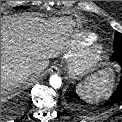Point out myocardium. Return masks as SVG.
<instances>
[{"instance_id": "myocardium-1", "label": "myocardium", "mask_w": 122, "mask_h": 122, "mask_svg": "<svg viewBox=\"0 0 122 122\" xmlns=\"http://www.w3.org/2000/svg\"><path fill=\"white\" fill-rule=\"evenodd\" d=\"M104 46L97 44L86 50L79 58L73 61L72 70L83 73L92 68L103 56Z\"/></svg>"}]
</instances>
